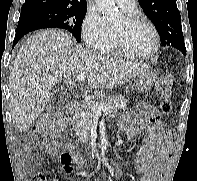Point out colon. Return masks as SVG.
I'll return each mask as SVG.
<instances>
[{
  "label": "colon",
  "instance_id": "colon-1",
  "mask_svg": "<svg viewBox=\"0 0 197 181\" xmlns=\"http://www.w3.org/2000/svg\"><path fill=\"white\" fill-rule=\"evenodd\" d=\"M170 86H171V77L169 75H163L159 79L157 85V93L159 96V101L162 110L165 113L170 112L171 103L169 100L170 97ZM65 128L64 118L57 115L47 114L44 115L40 121V131L45 136H54L63 132ZM61 161L66 172L72 170L73 156L69 152H64L61 155ZM33 181H46V176L42 173L38 174Z\"/></svg>",
  "mask_w": 197,
  "mask_h": 181
}]
</instances>
